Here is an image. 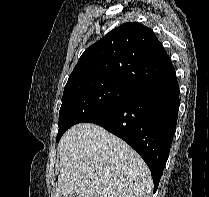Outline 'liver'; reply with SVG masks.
Segmentation results:
<instances>
[{"instance_id": "obj_1", "label": "liver", "mask_w": 209, "mask_h": 197, "mask_svg": "<svg viewBox=\"0 0 209 197\" xmlns=\"http://www.w3.org/2000/svg\"><path fill=\"white\" fill-rule=\"evenodd\" d=\"M60 173L54 197H146L152 176L126 142L92 123L68 129L58 144Z\"/></svg>"}]
</instances>
